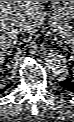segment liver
<instances>
[{
  "instance_id": "1",
  "label": "liver",
  "mask_w": 74,
  "mask_h": 122,
  "mask_svg": "<svg viewBox=\"0 0 74 122\" xmlns=\"http://www.w3.org/2000/svg\"><path fill=\"white\" fill-rule=\"evenodd\" d=\"M48 1H0V56L9 54V48L18 41L22 23L24 33H33L44 21V6Z\"/></svg>"
}]
</instances>
